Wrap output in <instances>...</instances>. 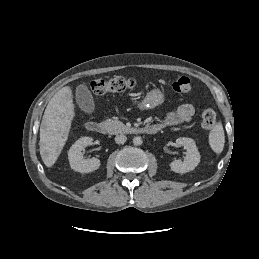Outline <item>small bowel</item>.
<instances>
[{"label": "small bowel", "instance_id": "1", "mask_svg": "<svg viewBox=\"0 0 259 259\" xmlns=\"http://www.w3.org/2000/svg\"><path fill=\"white\" fill-rule=\"evenodd\" d=\"M195 113V108L191 103L182 104L175 112L167 114L162 122L158 123L161 127L176 126L181 123L189 122Z\"/></svg>", "mask_w": 259, "mask_h": 259}]
</instances>
